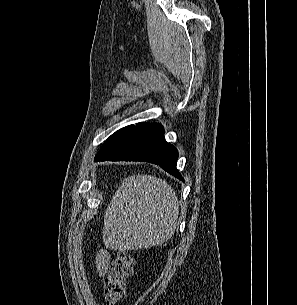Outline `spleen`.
<instances>
[{
  "instance_id": "3e777b00",
  "label": "spleen",
  "mask_w": 297,
  "mask_h": 305,
  "mask_svg": "<svg viewBox=\"0 0 297 305\" xmlns=\"http://www.w3.org/2000/svg\"><path fill=\"white\" fill-rule=\"evenodd\" d=\"M179 201L165 180L137 174L125 178L104 215V235L116 249H139L169 240Z\"/></svg>"
}]
</instances>
